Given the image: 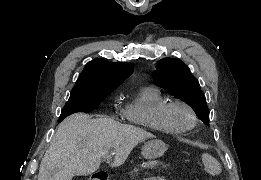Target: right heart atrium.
Listing matches in <instances>:
<instances>
[{
  "label": "right heart atrium",
  "instance_id": "1",
  "mask_svg": "<svg viewBox=\"0 0 261 180\" xmlns=\"http://www.w3.org/2000/svg\"><path fill=\"white\" fill-rule=\"evenodd\" d=\"M118 122H120L119 119H118ZM120 127H121V123H120Z\"/></svg>",
  "mask_w": 261,
  "mask_h": 180
}]
</instances>
